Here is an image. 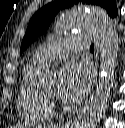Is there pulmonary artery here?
Listing matches in <instances>:
<instances>
[{
  "mask_svg": "<svg viewBox=\"0 0 125 128\" xmlns=\"http://www.w3.org/2000/svg\"><path fill=\"white\" fill-rule=\"evenodd\" d=\"M87 35H75L64 37L59 41L37 49L31 61L41 67H45L56 61L68 57L71 53L78 52L89 47Z\"/></svg>",
  "mask_w": 125,
  "mask_h": 128,
  "instance_id": "1",
  "label": "pulmonary artery"
}]
</instances>
